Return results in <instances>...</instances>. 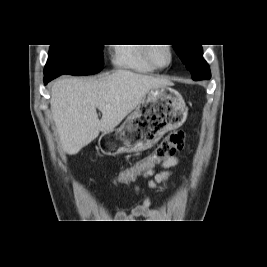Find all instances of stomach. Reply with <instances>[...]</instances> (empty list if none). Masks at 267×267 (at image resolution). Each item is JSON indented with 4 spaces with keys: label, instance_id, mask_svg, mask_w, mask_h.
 Wrapping results in <instances>:
<instances>
[{
    "label": "stomach",
    "instance_id": "0dacf381",
    "mask_svg": "<svg viewBox=\"0 0 267 267\" xmlns=\"http://www.w3.org/2000/svg\"><path fill=\"white\" fill-rule=\"evenodd\" d=\"M186 118L187 108L177 91L167 86L152 89L119 129L101 135V150L107 155L147 150Z\"/></svg>",
    "mask_w": 267,
    "mask_h": 267
}]
</instances>
